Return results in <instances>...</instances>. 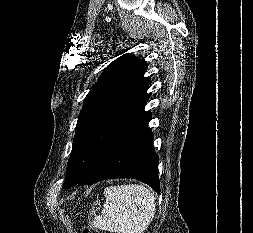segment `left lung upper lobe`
Here are the masks:
<instances>
[{"label":"left lung upper lobe","mask_w":253,"mask_h":233,"mask_svg":"<svg viewBox=\"0 0 253 233\" xmlns=\"http://www.w3.org/2000/svg\"><path fill=\"white\" fill-rule=\"evenodd\" d=\"M131 56L113 61L86 96L63 188L74 186L88 173L115 128L146 94L147 63Z\"/></svg>","instance_id":"1"}]
</instances>
